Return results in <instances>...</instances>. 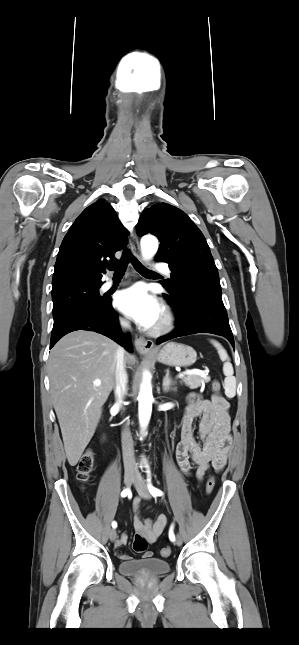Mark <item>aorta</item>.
Segmentation results:
<instances>
[{
    "label": "aorta",
    "mask_w": 299,
    "mask_h": 645,
    "mask_svg": "<svg viewBox=\"0 0 299 645\" xmlns=\"http://www.w3.org/2000/svg\"><path fill=\"white\" fill-rule=\"evenodd\" d=\"M141 250L144 259H151L158 250V240L153 236H145L141 240ZM150 374L144 373V380L140 387L138 395L139 401V422L142 429H145L149 423L152 412V387L149 382Z\"/></svg>",
    "instance_id": "obj_1"
}]
</instances>
